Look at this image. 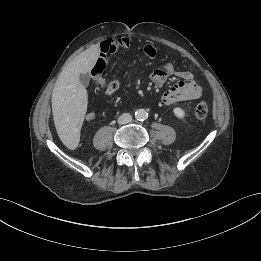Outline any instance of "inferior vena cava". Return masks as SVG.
Returning a JSON list of instances; mask_svg holds the SVG:
<instances>
[{"label":"inferior vena cava","instance_id":"inferior-vena-cava-1","mask_svg":"<svg viewBox=\"0 0 261 261\" xmlns=\"http://www.w3.org/2000/svg\"><path fill=\"white\" fill-rule=\"evenodd\" d=\"M132 121V116L129 113H123L118 118L119 124H127Z\"/></svg>","mask_w":261,"mask_h":261}]
</instances>
